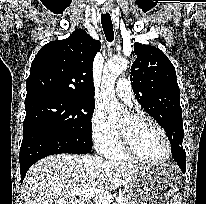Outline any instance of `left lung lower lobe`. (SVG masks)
<instances>
[{
    "label": "left lung lower lobe",
    "mask_w": 206,
    "mask_h": 204,
    "mask_svg": "<svg viewBox=\"0 0 206 204\" xmlns=\"http://www.w3.org/2000/svg\"><path fill=\"white\" fill-rule=\"evenodd\" d=\"M171 150H172L174 160L179 165L181 171L183 173H185V171H186V153H185V150H183V148H181V147L174 146V145L171 146Z\"/></svg>",
    "instance_id": "left-lung-lower-lobe-1"
}]
</instances>
